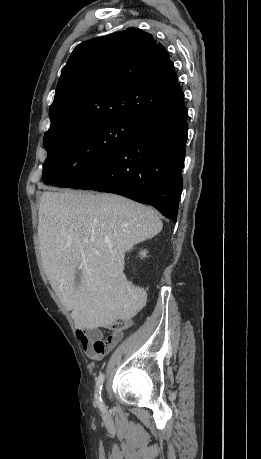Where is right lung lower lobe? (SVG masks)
I'll return each instance as SVG.
<instances>
[{
	"instance_id": "right-lung-lower-lobe-1",
	"label": "right lung lower lobe",
	"mask_w": 261,
	"mask_h": 459,
	"mask_svg": "<svg viewBox=\"0 0 261 459\" xmlns=\"http://www.w3.org/2000/svg\"><path fill=\"white\" fill-rule=\"evenodd\" d=\"M184 97L145 120L110 160L71 188L115 193L155 207L176 222L187 140Z\"/></svg>"
}]
</instances>
